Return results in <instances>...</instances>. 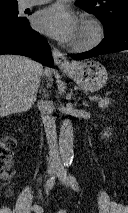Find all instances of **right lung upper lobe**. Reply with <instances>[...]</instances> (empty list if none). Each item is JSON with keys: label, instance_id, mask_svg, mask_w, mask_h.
<instances>
[{"label": "right lung upper lobe", "instance_id": "right-lung-upper-lobe-1", "mask_svg": "<svg viewBox=\"0 0 128 213\" xmlns=\"http://www.w3.org/2000/svg\"><path fill=\"white\" fill-rule=\"evenodd\" d=\"M18 5L17 0H0V7Z\"/></svg>", "mask_w": 128, "mask_h": 213}]
</instances>
